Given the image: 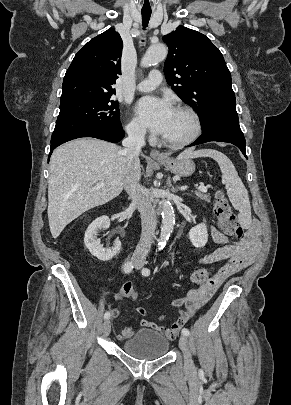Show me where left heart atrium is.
Masks as SVG:
<instances>
[{
    "mask_svg": "<svg viewBox=\"0 0 291 405\" xmlns=\"http://www.w3.org/2000/svg\"><path fill=\"white\" fill-rule=\"evenodd\" d=\"M173 107L167 99L147 96L135 107L138 119L151 130L163 134L170 123Z\"/></svg>",
    "mask_w": 291,
    "mask_h": 405,
    "instance_id": "1",
    "label": "left heart atrium"
}]
</instances>
